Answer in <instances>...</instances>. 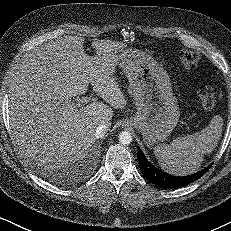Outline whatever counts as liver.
Returning <instances> with one entry per match:
<instances>
[{"label":"liver","mask_w":231,"mask_h":231,"mask_svg":"<svg viewBox=\"0 0 231 231\" xmlns=\"http://www.w3.org/2000/svg\"><path fill=\"white\" fill-rule=\"evenodd\" d=\"M82 37L65 36L27 54L14 72L9 89L13 137L29 164L56 169L84 157L96 141L99 124L110 123L113 110L127 99L113 77L118 53L126 45L93 39L96 56L84 52ZM89 83L104 102L78 107L76 96Z\"/></svg>","instance_id":"6515ba94"}]
</instances>
